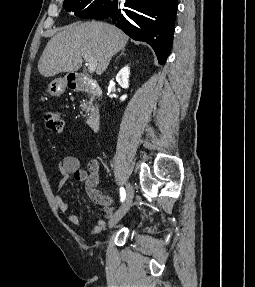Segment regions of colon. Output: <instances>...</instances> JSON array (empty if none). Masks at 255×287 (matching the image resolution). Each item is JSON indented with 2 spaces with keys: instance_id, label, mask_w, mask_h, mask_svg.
<instances>
[{
  "instance_id": "1",
  "label": "colon",
  "mask_w": 255,
  "mask_h": 287,
  "mask_svg": "<svg viewBox=\"0 0 255 287\" xmlns=\"http://www.w3.org/2000/svg\"><path fill=\"white\" fill-rule=\"evenodd\" d=\"M44 120L47 128L50 131L56 134H59L63 131L64 121L57 112H46L44 114Z\"/></svg>"
}]
</instances>
